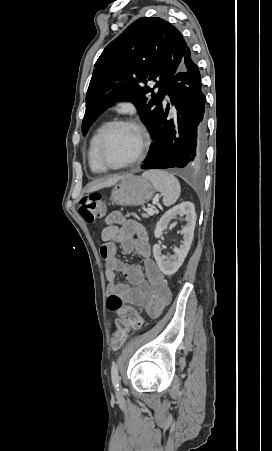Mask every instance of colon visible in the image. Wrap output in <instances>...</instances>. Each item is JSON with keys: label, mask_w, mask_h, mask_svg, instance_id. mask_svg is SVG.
<instances>
[{"label": "colon", "mask_w": 272, "mask_h": 451, "mask_svg": "<svg viewBox=\"0 0 272 451\" xmlns=\"http://www.w3.org/2000/svg\"><path fill=\"white\" fill-rule=\"evenodd\" d=\"M104 205L103 195L99 192H92L81 198L78 212L83 220L91 225L103 217ZM105 306L108 313H117L118 334L121 338L126 336L131 329L140 328L142 319L138 312L135 308L125 305L120 297L114 295L112 298H106ZM121 338H111L110 346L121 347Z\"/></svg>", "instance_id": "obj_1"}]
</instances>
